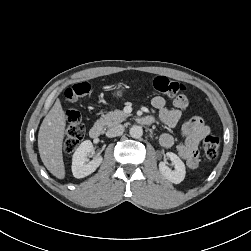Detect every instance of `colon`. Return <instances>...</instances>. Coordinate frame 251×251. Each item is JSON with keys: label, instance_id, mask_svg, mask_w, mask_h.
I'll use <instances>...</instances> for the list:
<instances>
[{"label": "colon", "instance_id": "1", "mask_svg": "<svg viewBox=\"0 0 251 251\" xmlns=\"http://www.w3.org/2000/svg\"><path fill=\"white\" fill-rule=\"evenodd\" d=\"M149 86L156 92L172 97L186 90V86L178 81L169 79L165 76H157L149 81ZM90 91L87 83L75 84L65 91V97L69 101H77L86 96ZM85 128L81 121L80 114L75 110L67 112V126L65 130V138L63 148L65 153L70 154L75 151L83 140ZM220 147L219 138L209 135L206 136L202 149L208 159H214L218 155Z\"/></svg>", "mask_w": 251, "mask_h": 251}]
</instances>
